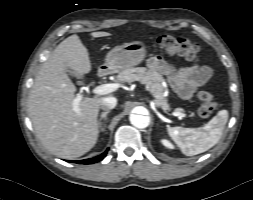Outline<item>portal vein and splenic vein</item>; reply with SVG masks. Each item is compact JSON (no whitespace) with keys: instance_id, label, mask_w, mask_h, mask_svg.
<instances>
[{"instance_id":"18ae733b","label":"portal vein and splenic vein","mask_w":253,"mask_h":200,"mask_svg":"<svg viewBox=\"0 0 253 200\" xmlns=\"http://www.w3.org/2000/svg\"><path fill=\"white\" fill-rule=\"evenodd\" d=\"M119 88V85L117 83H108V84H102L99 86H96L92 89V93L95 95H105V94H109L112 93L114 91H116ZM82 99V95L79 94L73 101V107L75 111H79V103ZM172 116H176L178 118H182L185 117V114H182L180 112H172L171 113Z\"/></svg>"}]
</instances>
